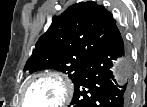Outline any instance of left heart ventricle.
Instances as JSON below:
<instances>
[{"mask_svg":"<svg viewBox=\"0 0 147 107\" xmlns=\"http://www.w3.org/2000/svg\"><path fill=\"white\" fill-rule=\"evenodd\" d=\"M61 98L59 85L52 80L34 83L26 95V103L31 107H51Z\"/></svg>","mask_w":147,"mask_h":107,"instance_id":"1","label":"left heart ventricle"}]
</instances>
